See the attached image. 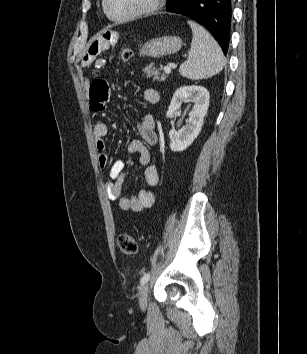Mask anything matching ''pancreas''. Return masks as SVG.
I'll list each match as a JSON object with an SVG mask.
<instances>
[{"instance_id":"obj_1","label":"pancreas","mask_w":307,"mask_h":354,"mask_svg":"<svg viewBox=\"0 0 307 354\" xmlns=\"http://www.w3.org/2000/svg\"><path fill=\"white\" fill-rule=\"evenodd\" d=\"M143 75L147 78H152L153 81H162L166 78V76L162 73V67H156L153 64L148 65L143 69Z\"/></svg>"}]
</instances>
